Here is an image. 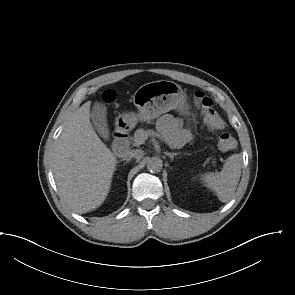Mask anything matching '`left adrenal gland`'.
I'll return each instance as SVG.
<instances>
[{"label": "left adrenal gland", "mask_w": 295, "mask_h": 295, "mask_svg": "<svg viewBox=\"0 0 295 295\" xmlns=\"http://www.w3.org/2000/svg\"><path fill=\"white\" fill-rule=\"evenodd\" d=\"M165 154L171 159H174V156H177L179 153H171V152H165Z\"/></svg>", "instance_id": "1"}]
</instances>
